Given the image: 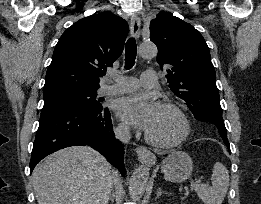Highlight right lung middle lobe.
Listing matches in <instances>:
<instances>
[{"label":"right lung middle lobe","instance_id":"1","mask_svg":"<svg viewBox=\"0 0 261 204\" xmlns=\"http://www.w3.org/2000/svg\"><path fill=\"white\" fill-rule=\"evenodd\" d=\"M96 96V90L60 91L44 94L43 109L62 105H99V101L96 99Z\"/></svg>","mask_w":261,"mask_h":204}]
</instances>
